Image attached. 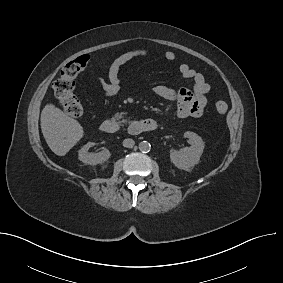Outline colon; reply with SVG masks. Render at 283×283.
Listing matches in <instances>:
<instances>
[{
  "mask_svg": "<svg viewBox=\"0 0 283 283\" xmlns=\"http://www.w3.org/2000/svg\"><path fill=\"white\" fill-rule=\"evenodd\" d=\"M90 57L83 55L66 64L61 70L60 77L54 82L53 90L55 97L64 111L73 118H79L83 113V107L74 93L76 77L87 67ZM216 111L225 115L228 105L224 101L215 103Z\"/></svg>",
  "mask_w": 283,
  "mask_h": 283,
  "instance_id": "1",
  "label": "colon"
}]
</instances>
